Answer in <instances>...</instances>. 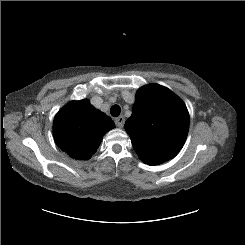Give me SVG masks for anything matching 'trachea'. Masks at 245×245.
I'll return each mask as SVG.
<instances>
[{
  "label": "trachea",
  "instance_id": "trachea-1",
  "mask_svg": "<svg viewBox=\"0 0 245 245\" xmlns=\"http://www.w3.org/2000/svg\"><path fill=\"white\" fill-rule=\"evenodd\" d=\"M121 108L119 105H113L110 109V113L113 117H118L120 115Z\"/></svg>",
  "mask_w": 245,
  "mask_h": 245
}]
</instances>
